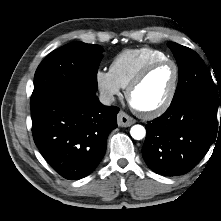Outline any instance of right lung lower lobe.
<instances>
[{
    "instance_id": "98d812e1",
    "label": "right lung lower lobe",
    "mask_w": 221,
    "mask_h": 221,
    "mask_svg": "<svg viewBox=\"0 0 221 221\" xmlns=\"http://www.w3.org/2000/svg\"><path fill=\"white\" fill-rule=\"evenodd\" d=\"M32 110L34 142L47 163L63 178L91 174L102 160L119 109L104 106L96 92L65 85L46 95Z\"/></svg>"
}]
</instances>
